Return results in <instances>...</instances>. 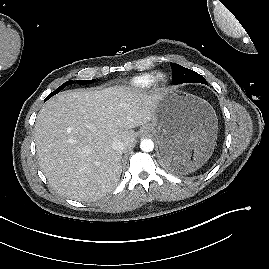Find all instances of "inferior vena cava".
<instances>
[{"label":"inferior vena cava","instance_id":"inferior-vena-cava-1","mask_svg":"<svg viewBox=\"0 0 269 269\" xmlns=\"http://www.w3.org/2000/svg\"><path fill=\"white\" fill-rule=\"evenodd\" d=\"M112 148L117 151H123L124 150V143L121 140H115L111 144Z\"/></svg>","mask_w":269,"mask_h":269}]
</instances>
